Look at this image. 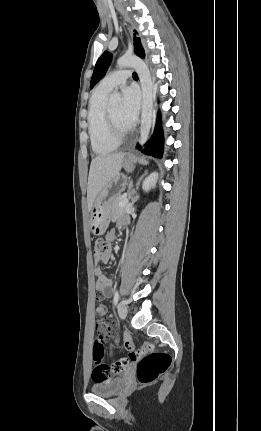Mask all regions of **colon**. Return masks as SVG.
Wrapping results in <instances>:
<instances>
[{
  "label": "colon",
  "instance_id": "colon-1",
  "mask_svg": "<svg viewBox=\"0 0 261 431\" xmlns=\"http://www.w3.org/2000/svg\"><path fill=\"white\" fill-rule=\"evenodd\" d=\"M109 250L110 246L106 240L97 239L93 244L95 258L108 254ZM103 357L104 349L102 343L95 340L93 348L94 367L91 372V382L97 386L108 381L117 382L119 380V373H125V365L129 361L137 362V379L144 385L155 382L171 364L170 355L163 352H152V345L149 343L141 348H137L134 353L129 351L128 358L114 360L112 365L104 363Z\"/></svg>",
  "mask_w": 261,
  "mask_h": 431
}]
</instances>
